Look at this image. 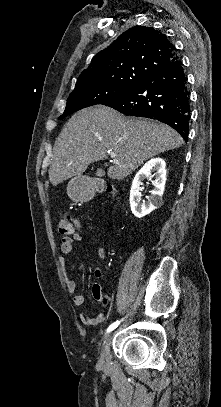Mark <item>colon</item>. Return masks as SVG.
Returning a JSON list of instances; mask_svg holds the SVG:
<instances>
[{"mask_svg": "<svg viewBox=\"0 0 221 407\" xmlns=\"http://www.w3.org/2000/svg\"><path fill=\"white\" fill-rule=\"evenodd\" d=\"M109 191L113 192V188L109 187ZM76 228V222L74 218L67 214L58 223V231L61 235H71Z\"/></svg>", "mask_w": 221, "mask_h": 407, "instance_id": "obj_1", "label": "colon"}]
</instances>
